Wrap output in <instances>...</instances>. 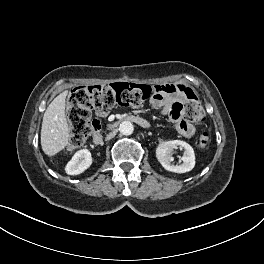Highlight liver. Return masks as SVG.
Wrapping results in <instances>:
<instances>
[{"instance_id": "obj_1", "label": "liver", "mask_w": 264, "mask_h": 264, "mask_svg": "<svg viewBox=\"0 0 264 264\" xmlns=\"http://www.w3.org/2000/svg\"><path fill=\"white\" fill-rule=\"evenodd\" d=\"M67 94L65 90L54 98L43 116L41 146L48 156H54L68 145L69 128L65 115Z\"/></svg>"}]
</instances>
